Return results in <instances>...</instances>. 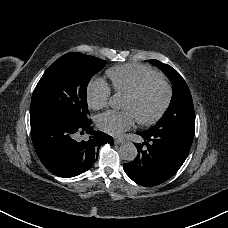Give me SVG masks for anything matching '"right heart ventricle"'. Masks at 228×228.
I'll return each mask as SVG.
<instances>
[{
	"label": "right heart ventricle",
	"mask_w": 228,
	"mask_h": 228,
	"mask_svg": "<svg viewBox=\"0 0 228 228\" xmlns=\"http://www.w3.org/2000/svg\"><path fill=\"white\" fill-rule=\"evenodd\" d=\"M118 94L124 96L135 92L144 83L157 79L159 74L141 65H124L115 67L107 72Z\"/></svg>",
	"instance_id": "obj_1"
}]
</instances>
